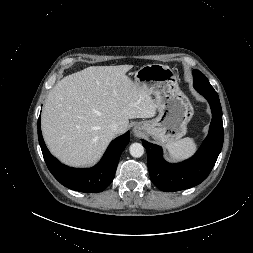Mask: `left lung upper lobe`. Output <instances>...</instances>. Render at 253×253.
<instances>
[{
  "label": "left lung upper lobe",
  "instance_id": "obj_1",
  "mask_svg": "<svg viewBox=\"0 0 253 253\" xmlns=\"http://www.w3.org/2000/svg\"><path fill=\"white\" fill-rule=\"evenodd\" d=\"M193 77H194V88L198 92L217 95L216 91L211 86L208 79L205 77L203 73H201L199 70H193Z\"/></svg>",
  "mask_w": 253,
  "mask_h": 253
}]
</instances>
